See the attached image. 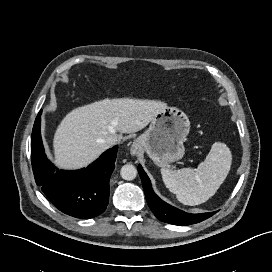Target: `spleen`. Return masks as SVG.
<instances>
[{"instance_id":"obj_1","label":"spleen","mask_w":272,"mask_h":272,"mask_svg":"<svg viewBox=\"0 0 272 272\" xmlns=\"http://www.w3.org/2000/svg\"><path fill=\"white\" fill-rule=\"evenodd\" d=\"M232 155L224 143H214L205 161L197 169L179 171L161 169L162 179L170 192L185 205H199L211 198L226 179Z\"/></svg>"}]
</instances>
